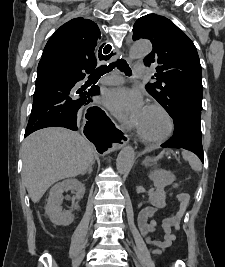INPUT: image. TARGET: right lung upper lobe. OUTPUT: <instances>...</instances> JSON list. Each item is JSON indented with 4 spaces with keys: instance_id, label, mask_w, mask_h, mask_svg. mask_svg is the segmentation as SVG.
<instances>
[{
    "instance_id": "obj_1",
    "label": "right lung upper lobe",
    "mask_w": 225,
    "mask_h": 267,
    "mask_svg": "<svg viewBox=\"0 0 225 267\" xmlns=\"http://www.w3.org/2000/svg\"><path fill=\"white\" fill-rule=\"evenodd\" d=\"M101 39L96 23L89 19L74 18L62 25L49 39L42 56H63L80 62L90 72L97 65V44Z\"/></svg>"
}]
</instances>
